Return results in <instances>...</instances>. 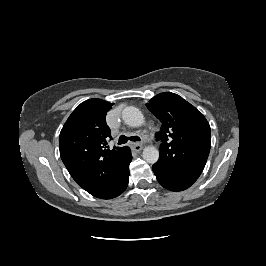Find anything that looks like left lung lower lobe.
Here are the masks:
<instances>
[{
	"label": "left lung lower lobe",
	"instance_id": "obj_1",
	"mask_svg": "<svg viewBox=\"0 0 266 266\" xmlns=\"http://www.w3.org/2000/svg\"><path fill=\"white\" fill-rule=\"evenodd\" d=\"M158 182L170 191H182L189 188L195 181L173 177L163 171L159 166H152Z\"/></svg>",
	"mask_w": 266,
	"mask_h": 266
}]
</instances>
